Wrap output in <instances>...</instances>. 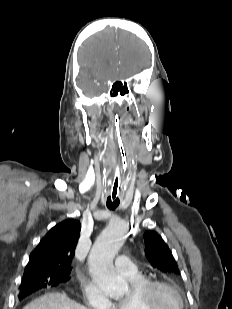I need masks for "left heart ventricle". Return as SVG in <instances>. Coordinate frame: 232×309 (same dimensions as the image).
<instances>
[{
  "label": "left heart ventricle",
  "mask_w": 232,
  "mask_h": 309,
  "mask_svg": "<svg viewBox=\"0 0 232 309\" xmlns=\"http://www.w3.org/2000/svg\"><path fill=\"white\" fill-rule=\"evenodd\" d=\"M158 301L162 309H180L178 296L169 289H161L159 291Z\"/></svg>",
  "instance_id": "b2bd125f"
}]
</instances>
